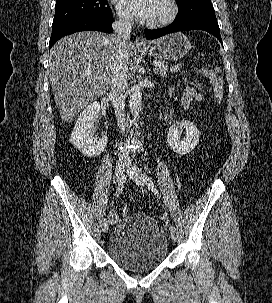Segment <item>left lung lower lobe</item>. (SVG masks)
I'll list each match as a JSON object with an SVG mask.
<instances>
[{
	"mask_svg": "<svg viewBox=\"0 0 272 303\" xmlns=\"http://www.w3.org/2000/svg\"><path fill=\"white\" fill-rule=\"evenodd\" d=\"M188 30H204L214 35L221 43V35L219 25L215 16L204 18H190L185 20H175L172 24L162 29L148 30L145 29L144 33L147 39H156L166 34L188 31ZM223 45V43H222Z\"/></svg>",
	"mask_w": 272,
	"mask_h": 303,
	"instance_id": "1",
	"label": "left lung lower lobe"
}]
</instances>
